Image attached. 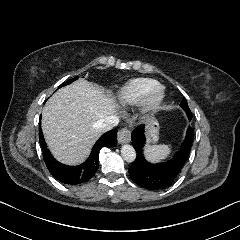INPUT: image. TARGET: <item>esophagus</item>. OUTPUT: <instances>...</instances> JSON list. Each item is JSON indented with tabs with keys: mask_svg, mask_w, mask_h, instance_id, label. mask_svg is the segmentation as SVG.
Here are the masks:
<instances>
[{
	"mask_svg": "<svg viewBox=\"0 0 240 240\" xmlns=\"http://www.w3.org/2000/svg\"><path fill=\"white\" fill-rule=\"evenodd\" d=\"M119 143H128L131 140V131L127 128H122L117 135Z\"/></svg>",
	"mask_w": 240,
	"mask_h": 240,
	"instance_id": "34e87169",
	"label": "esophagus"
}]
</instances>
